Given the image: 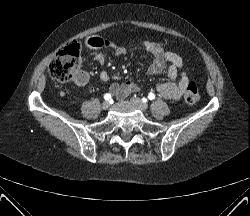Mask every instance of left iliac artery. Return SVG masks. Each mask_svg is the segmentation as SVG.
<instances>
[{"mask_svg":"<svg viewBox=\"0 0 250 216\" xmlns=\"http://www.w3.org/2000/svg\"><path fill=\"white\" fill-rule=\"evenodd\" d=\"M148 99H149V100L155 99V95H154L153 93H150V94L148 95Z\"/></svg>","mask_w":250,"mask_h":216,"instance_id":"44dca946","label":"left iliac artery"}]
</instances>
